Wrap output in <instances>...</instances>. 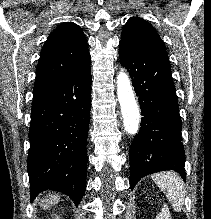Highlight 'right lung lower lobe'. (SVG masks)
<instances>
[{"label": "right lung lower lobe", "instance_id": "98d812e1", "mask_svg": "<svg viewBox=\"0 0 211 219\" xmlns=\"http://www.w3.org/2000/svg\"><path fill=\"white\" fill-rule=\"evenodd\" d=\"M90 102V63L33 93L27 160L31 201L52 189L80 203L86 187Z\"/></svg>", "mask_w": 211, "mask_h": 219}]
</instances>
